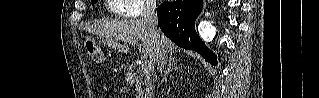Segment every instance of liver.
<instances>
[{
	"label": "liver",
	"mask_w": 319,
	"mask_h": 98,
	"mask_svg": "<svg viewBox=\"0 0 319 98\" xmlns=\"http://www.w3.org/2000/svg\"><path fill=\"white\" fill-rule=\"evenodd\" d=\"M89 32L94 33L103 38V42L115 50L127 52L129 47L127 45H120L113 41L115 37L119 40L126 41L130 38L132 40L140 41L139 52L144 56L149 57L150 61L157 63L159 38L151 34L142 19H126L121 21H103L97 24L88 26L86 28ZM163 45L167 52H172L175 45L172 41L166 38L162 33L160 35Z\"/></svg>",
	"instance_id": "liver-1"
}]
</instances>
